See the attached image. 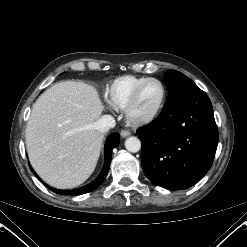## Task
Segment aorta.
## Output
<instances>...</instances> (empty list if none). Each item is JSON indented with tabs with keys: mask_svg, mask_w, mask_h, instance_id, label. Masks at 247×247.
I'll use <instances>...</instances> for the list:
<instances>
[{
	"mask_svg": "<svg viewBox=\"0 0 247 247\" xmlns=\"http://www.w3.org/2000/svg\"><path fill=\"white\" fill-rule=\"evenodd\" d=\"M125 147L129 152L136 153L141 149V141L137 137H129L125 141Z\"/></svg>",
	"mask_w": 247,
	"mask_h": 247,
	"instance_id": "aorta-1",
	"label": "aorta"
}]
</instances>
